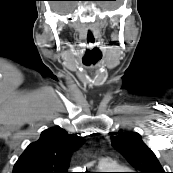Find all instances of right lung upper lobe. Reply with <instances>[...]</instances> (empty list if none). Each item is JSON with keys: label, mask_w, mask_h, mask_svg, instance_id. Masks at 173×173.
<instances>
[{"label": "right lung upper lobe", "mask_w": 173, "mask_h": 173, "mask_svg": "<svg viewBox=\"0 0 173 173\" xmlns=\"http://www.w3.org/2000/svg\"><path fill=\"white\" fill-rule=\"evenodd\" d=\"M83 143L61 128H49L31 143L15 163L12 173H68L71 153Z\"/></svg>", "instance_id": "cb5924a9"}]
</instances>
